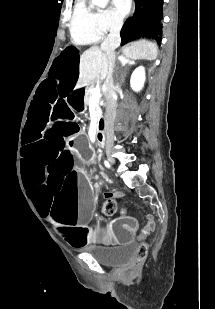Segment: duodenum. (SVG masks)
<instances>
[{"mask_svg":"<svg viewBox=\"0 0 215 309\" xmlns=\"http://www.w3.org/2000/svg\"><path fill=\"white\" fill-rule=\"evenodd\" d=\"M105 121L103 118L98 119V128L96 131V144L99 148H105L106 140H105V131H104Z\"/></svg>","mask_w":215,"mask_h":309,"instance_id":"duodenum-1","label":"duodenum"}]
</instances>
